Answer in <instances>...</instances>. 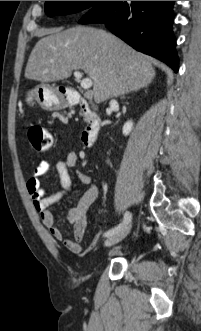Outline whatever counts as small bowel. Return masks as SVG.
I'll use <instances>...</instances> for the list:
<instances>
[{
  "label": "small bowel",
  "mask_w": 201,
  "mask_h": 331,
  "mask_svg": "<svg viewBox=\"0 0 201 331\" xmlns=\"http://www.w3.org/2000/svg\"><path fill=\"white\" fill-rule=\"evenodd\" d=\"M79 157L76 153H68L64 159L55 163L43 160L33 170L32 175L26 183L27 191L31 197L34 208L39 213L42 223L47 227L51 235L58 241L63 242L65 248L73 254L85 255L91 252L97 245L101 234H98L88 247H83L82 242L87 226V212L97 199L99 190L94 184L93 178L88 173H79V181L87 186L75 207L71 208L62 218L72 225L73 239L64 237L63 232L56 226V218L49 207L69 194L72 189V179L69 169L78 163ZM56 173L61 190L47 194L41 185V178L47 174Z\"/></svg>",
  "instance_id": "1"
}]
</instances>
